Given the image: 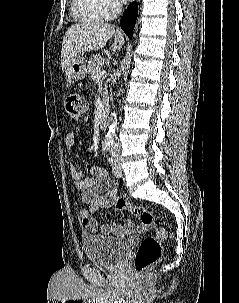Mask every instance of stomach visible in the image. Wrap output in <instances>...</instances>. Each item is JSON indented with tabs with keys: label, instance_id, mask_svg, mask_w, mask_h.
<instances>
[{
	"label": "stomach",
	"instance_id": "stomach-1",
	"mask_svg": "<svg viewBox=\"0 0 239 303\" xmlns=\"http://www.w3.org/2000/svg\"><path fill=\"white\" fill-rule=\"evenodd\" d=\"M65 73L72 80L84 79L87 74L84 57L80 54L74 55L66 64Z\"/></svg>",
	"mask_w": 239,
	"mask_h": 303
}]
</instances>
